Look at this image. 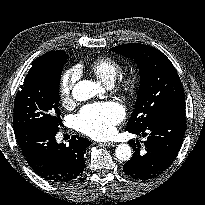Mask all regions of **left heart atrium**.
Segmentation results:
<instances>
[{
	"label": "left heart atrium",
	"mask_w": 205,
	"mask_h": 205,
	"mask_svg": "<svg viewBox=\"0 0 205 205\" xmlns=\"http://www.w3.org/2000/svg\"><path fill=\"white\" fill-rule=\"evenodd\" d=\"M124 116L125 110L117 102L96 103L82 108L76 117V125L88 136L103 139L114 133Z\"/></svg>",
	"instance_id": "39dd6f15"
}]
</instances>
